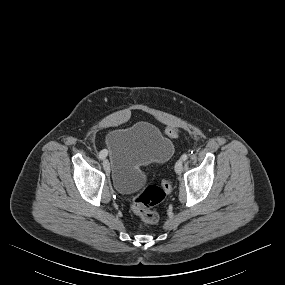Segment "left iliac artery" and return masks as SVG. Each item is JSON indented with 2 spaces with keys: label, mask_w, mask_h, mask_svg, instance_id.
<instances>
[{
  "label": "left iliac artery",
  "mask_w": 285,
  "mask_h": 285,
  "mask_svg": "<svg viewBox=\"0 0 285 285\" xmlns=\"http://www.w3.org/2000/svg\"><path fill=\"white\" fill-rule=\"evenodd\" d=\"M187 158H188V155H187V154H183V155L181 156V159H182L183 161L187 160Z\"/></svg>",
  "instance_id": "left-iliac-artery-1"
}]
</instances>
